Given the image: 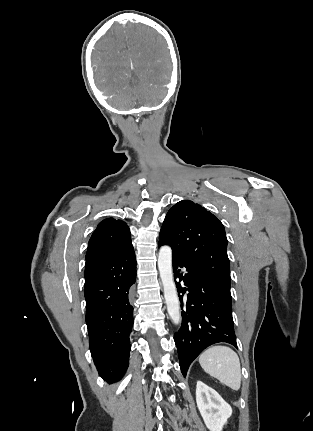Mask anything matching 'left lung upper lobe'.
I'll return each instance as SVG.
<instances>
[{
    "mask_svg": "<svg viewBox=\"0 0 313 431\" xmlns=\"http://www.w3.org/2000/svg\"><path fill=\"white\" fill-rule=\"evenodd\" d=\"M159 243L172 247L173 256L195 271L230 286V263L223 224L190 200L176 203L167 213Z\"/></svg>",
    "mask_w": 313,
    "mask_h": 431,
    "instance_id": "left-lung-upper-lobe-1",
    "label": "left lung upper lobe"
}]
</instances>
